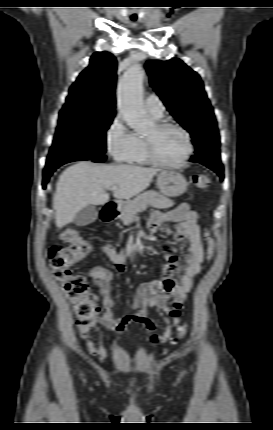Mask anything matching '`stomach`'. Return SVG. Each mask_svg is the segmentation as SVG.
I'll list each match as a JSON object with an SVG mask.
<instances>
[{"label": "stomach", "instance_id": "stomach-1", "mask_svg": "<svg viewBox=\"0 0 273 430\" xmlns=\"http://www.w3.org/2000/svg\"><path fill=\"white\" fill-rule=\"evenodd\" d=\"M157 186L167 197H178L187 190V181L176 171L164 170L157 175Z\"/></svg>", "mask_w": 273, "mask_h": 430}]
</instances>
